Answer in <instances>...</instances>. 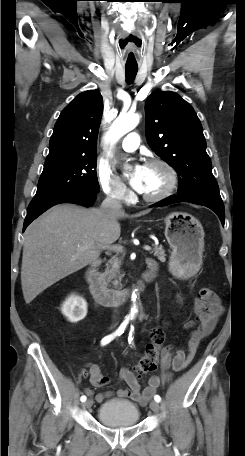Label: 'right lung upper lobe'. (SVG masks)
I'll return each mask as SVG.
<instances>
[{"label": "right lung upper lobe", "mask_w": 245, "mask_h": 456, "mask_svg": "<svg viewBox=\"0 0 245 456\" xmlns=\"http://www.w3.org/2000/svg\"><path fill=\"white\" fill-rule=\"evenodd\" d=\"M103 112L99 90L80 93L61 112L49 142L45 164L62 159L96 155Z\"/></svg>", "instance_id": "right-lung-upper-lobe-1"}]
</instances>
